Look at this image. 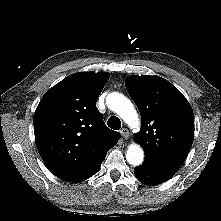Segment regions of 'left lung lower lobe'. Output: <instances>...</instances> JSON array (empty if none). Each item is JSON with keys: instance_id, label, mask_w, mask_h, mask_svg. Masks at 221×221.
Wrapping results in <instances>:
<instances>
[{"instance_id": "0a47b994", "label": "left lung lower lobe", "mask_w": 221, "mask_h": 221, "mask_svg": "<svg viewBox=\"0 0 221 221\" xmlns=\"http://www.w3.org/2000/svg\"><path fill=\"white\" fill-rule=\"evenodd\" d=\"M134 174L140 182L146 185H158L169 180L175 172L144 161L142 165L134 169Z\"/></svg>"}]
</instances>
